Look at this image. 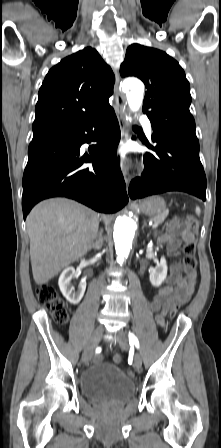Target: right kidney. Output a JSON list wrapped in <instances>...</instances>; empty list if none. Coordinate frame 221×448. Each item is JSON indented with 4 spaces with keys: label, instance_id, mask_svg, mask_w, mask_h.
<instances>
[{
    "label": "right kidney",
    "instance_id": "ca27d5eb",
    "mask_svg": "<svg viewBox=\"0 0 221 448\" xmlns=\"http://www.w3.org/2000/svg\"><path fill=\"white\" fill-rule=\"evenodd\" d=\"M79 274L75 271L73 267H67L61 273L58 285L61 293L67 299V301L73 305L78 304L85 292L86 289V281L83 280L80 282L78 291L75 292L74 287L71 284L72 278L78 277Z\"/></svg>",
    "mask_w": 221,
    "mask_h": 448
}]
</instances>
